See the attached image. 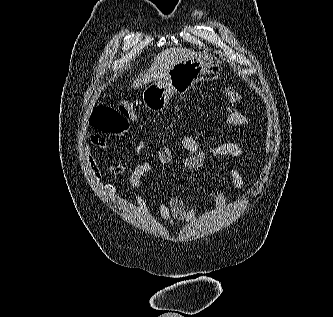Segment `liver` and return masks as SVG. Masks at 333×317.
Instances as JSON below:
<instances>
[{
	"instance_id": "liver-1",
	"label": "liver",
	"mask_w": 333,
	"mask_h": 317,
	"mask_svg": "<svg viewBox=\"0 0 333 317\" xmlns=\"http://www.w3.org/2000/svg\"><path fill=\"white\" fill-rule=\"evenodd\" d=\"M196 56L195 51L187 48L173 47L163 50L159 53L152 63L149 70L134 81L133 88H138L142 84L158 81L165 78L167 73L182 60L193 58Z\"/></svg>"
}]
</instances>
